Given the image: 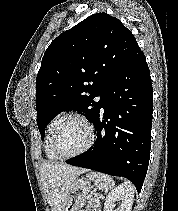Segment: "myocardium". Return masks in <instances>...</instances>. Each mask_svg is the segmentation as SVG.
<instances>
[{"mask_svg":"<svg viewBox=\"0 0 178 211\" xmlns=\"http://www.w3.org/2000/svg\"><path fill=\"white\" fill-rule=\"evenodd\" d=\"M72 120H76V121L82 122L86 126V128L88 130V140H87L85 146L80 151H78L76 153H73V154H70V155H64V154H61L59 152V150H58L57 137H58V134H59L60 130L63 128V126L67 122L72 121ZM94 138H95L94 126H93L92 122L87 117H85V116H83L81 114H77V113L76 114H68L58 124V126L56 127V129L54 131L53 139H52V148H53V151L55 152V154L58 156V158L70 159V158L82 155L83 153L88 151L91 148V146L93 145V143H94Z\"/></svg>","mask_w":178,"mask_h":211,"instance_id":"1","label":"myocardium"}]
</instances>
